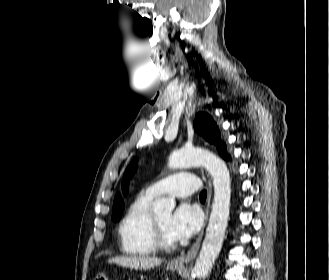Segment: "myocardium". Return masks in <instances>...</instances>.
Listing matches in <instances>:
<instances>
[{"instance_id": "1", "label": "myocardium", "mask_w": 329, "mask_h": 280, "mask_svg": "<svg viewBox=\"0 0 329 280\" xmlns=\"http://www.w3.org/2000/svg\"><path fill=\"white\" fill-rule=\"evenodd\" d=\"M151 232L155 247L158 249L169 250L175 247V242L168 240L163 234L156 217H152Z\"/></svg>"}]
</instances>
